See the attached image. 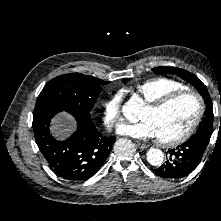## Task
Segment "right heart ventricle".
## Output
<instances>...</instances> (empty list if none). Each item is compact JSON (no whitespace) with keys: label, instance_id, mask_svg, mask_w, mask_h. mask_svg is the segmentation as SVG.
I'll return each instance as SVG.
<instances>
[{"label":"right heart ventricle","instance_id":"e07e8e85","mask_svg":"<svg viewBox=\"0 0 221 221\" xmlns=\"http://www.w3.org/2000/svg\"><path fill=\"white\" fill-rule=\"evenodd\" d=\"M188 89L183 83L167 77H155L132 87V92L145 103L153 102L170 92Z\"/></svg>","mask_w":221,"mask_h":221}]
</instances>
